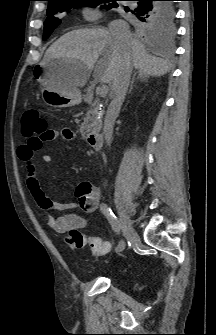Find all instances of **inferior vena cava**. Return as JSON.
I'll return each mask as SVG.
<instances>
[{"label": "inferior vena cava", "mask_w": 216, "mask_h": 335, "mask_svg": "<svg viewBox=\"0 0 216 335\" xmlns=\"http://www.w3.org/2000/svg\"><path fill=\"white\" fill-rule=\"evenodd\" d=\"M109 31L119 43H126L130 40L131 34L129 25L123 20H114L108 25ZM132 67L129 59H125L122 68L116 77L113 85V99L108 107L104 120V136L106 143L111 144L115 120L124 102L130 82Z\"/></svg>", "instance_id": "1"}]
</instances>
